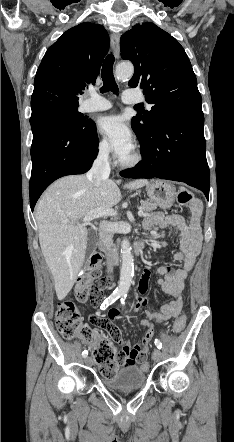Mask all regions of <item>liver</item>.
<instances>
[{
  "instance_id": "1",
  "label": "liver",
  "mask_w": 234,
  "mask_h": 442,
  "mask_svg": "<svg viewBox=\"0 0 234 442\" xmlns=\"http://www.w3.org/2000/svg\"><path fill=\"white\" fill-rule=\"evenodd\" d=\"M147 183L140 179L124 188L138 189ZM121 198L120 189L112 180L96 186L86 176L70 175L55 181L38 201L35 218L40 247L59 300L72 289L85 259L87 229L80 220L98 208H112Z\"/></svg>"
}]
</instances>
